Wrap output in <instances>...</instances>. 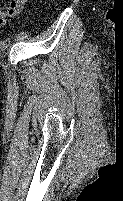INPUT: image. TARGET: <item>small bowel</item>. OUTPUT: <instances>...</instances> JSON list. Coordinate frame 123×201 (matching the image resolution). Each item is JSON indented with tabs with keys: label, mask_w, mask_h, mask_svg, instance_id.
Returning <instances> with one entry per match:
<instances>
[{
	"label": "small bowel",
	"mask_w": 123,
	"mask_h": 201,
	"mask_svg": "<svg viewBox=\"0 0 123 201\" xmlns=\"http://www.w3.org/2000/svg\"><path fill=\"white\" fill-rule=\"evenodd\" d=\"M28 0H10L0 9V26L4 25L9 18L16 17L21 13Z\"/></svg>",
	"instance_id": "obj_1"
}]
</instances>
